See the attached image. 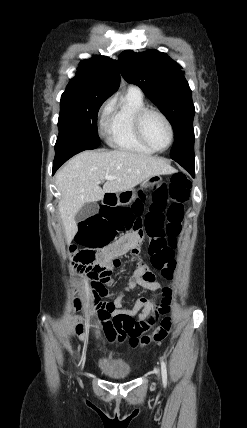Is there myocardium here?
I'll return each mask as SVG.
<instances>
[{"instance_id":"obj_1","label":"myocardium","mask_w":247,"mask_h":428,"mask_svg":"<svg viewBox=\"0 0 247 428\" xmlns=\"http://www.w3.org/2000/svg\"><path fill=\"white\" fill-rule=\"evenodd\" d=\"M157 114L158 116H160L163 121L166 123L168 130H169V142L167 144L166 147L162 148V149H158L155 148L146 138L145 133H144V128H143V123H144V119L146 118V116L148 114ZM134 129H135V133L138 137V139L150 150H152L153 152H165L166 150H168L173 142H174V129H173V125L171 123V121L169 120V118L159 109L156 108H152V107H145L141 110H139L135 117H134Z\"/></svg>"}]
</instances>
